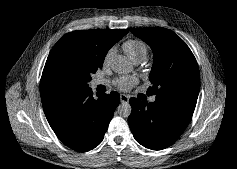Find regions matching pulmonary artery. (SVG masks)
Returning a JSON list of instances; mask_svg holds the SVG:
<instances>
[{
    "instance_id": "pulmonary-artery-1",
    "label": "pulmonary artery",
    "mask_w": 237,
    "mask_h": 169,
    "mask_svg": "<svg viewBox=\"0 0 237 169\" xmlns=\"http://www.w3.org/2000/svg\"><path fill=\"white\" fill-rule=\"evenodd\" d=\"M101 83H103L102 80L96 79V80L93 81V86H97V85H99V84H101ZM150 101H151V102H154V101H155V97H152V98L150 99Z\"/></svg>"
}]
</instances>
